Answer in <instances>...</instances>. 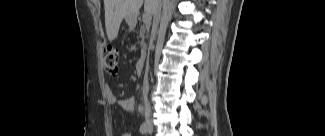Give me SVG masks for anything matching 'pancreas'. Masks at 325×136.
Segmentation results:
<instances>
[{
	"instance_id": "cf45deb5",
	"label": "pancreas",
	"mask_w": 325,
	"mask_h": 136,
	"mask_svg": "<svg viewBox=\"0 0 325 136\" xmlns=\"http://www.w3.org/2000/svg\"><path fill=\"white\" fill-rule=\"evenodd\" d=\"M146 28L144 27H138L136 29V32L138 33V37L140 38V40H147L146 37H145V34L146 33Z\"/></svg>"
}]
</instances>
